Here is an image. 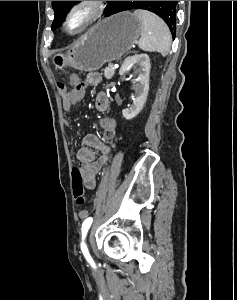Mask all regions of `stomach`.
<instances>
[{"mask_svg":"<svg viewBox=\"0 0 237 300\" xmlns=\"http://www.w3.org/2000/svg\"><path fill=\"white\" fill-rule=\"evenodd\" d=\"M142 23L133 13L124 11L98 21L82 35L67 53H55L56 69L73 67L77 71H98L104 63L120 59L139 39Z\"/></svg>","mask_w":237,"mask_h":300,"instance_id":"0dacf381","label":"stomach"}]
</instances>
